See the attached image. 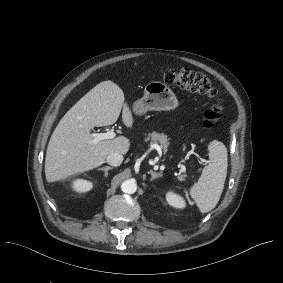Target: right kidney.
<instances>
[{
    "instance_id": "ca27d5eb",
    "label": "right kidney",
    "mask_w": 283,
    "mask_h": 283,
    "mask_svg": "<svg viewBox=\"0 0 283 283\" xmlns=\"http://www.w3.org/2000/svg\"><path fill=\"white\" fill-rule=\"evenodd\" d=\"M93 187L92 182L84 180V179H76L72 182V188L76 192H87L90 191Z\"/></svg>"
}]
</instances>
